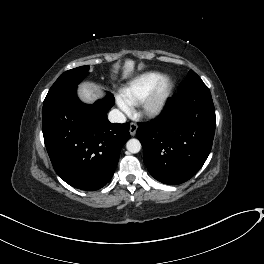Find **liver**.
Returning a JSON list of instances; mask_svg holds the SVG:
<instances>
[{
  "label": "liver",
  "instance_id": "6515ba94",
  "mask_svg": "<svg viewBox=\"0 0 264 264\" xmlns=\"http://www.w3.org/2000/svg\"><path fill=\"white\" fill-rule=\"evenodd\" d=\"M134 69V61L126 60L124 65V77L131 74ZM79 98L86 103H93L99 98V94L95 90V86L92 84L84 83L79 86L78 89Z\"/></svg>",
  "mask_w": 264,
  "mask_h": 264
}]
</instances>
